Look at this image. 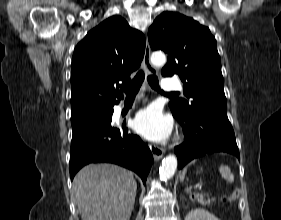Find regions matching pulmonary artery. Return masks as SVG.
<instances>
[{"label":"pulmonary artery","mask_w":281,"mask_h":220,"mask_svg":"<svg viewBox=\"0 0 281 220\" xmlns=\"http://www.w3.org/2000/svg\"><path fill=\"white\" fill-rule=\"evenodd\" d=\"M162 89L165 91H178L182 89V85L178 80L171 78H164L162 80Z\"/></svg>","instance_id":"e3ab8cb5"}]
</instances>
